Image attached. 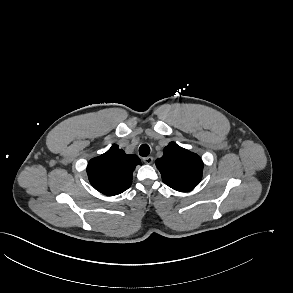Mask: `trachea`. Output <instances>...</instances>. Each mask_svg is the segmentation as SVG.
I'll return each mask as SVG.
<instances>
[{"instance_id": "trachea-1", "label": "trachea", "mask_w": 293, "mask_h": 293, "mask_svg": "<svg viewBox=\"0 0 293 293\" xmlns=\"http://www.w3.org/2000/svg\"><path fill=\"white\" fill-rule=\"evenodd\" d=\"M150 153V147L147 144H142L139 148V154L142 157H147Z\"/></svg>"}]
</instances>
